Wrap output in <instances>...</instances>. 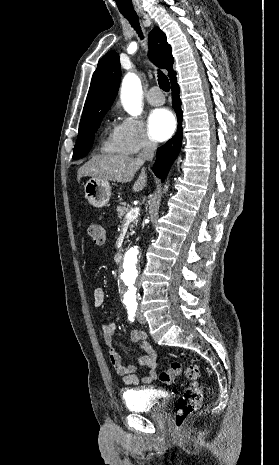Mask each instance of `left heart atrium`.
Returning <instances> with one entry per match:
<instances>
[{
  "label": "left heart atrium",
  "mask_w": 279,
  "mask_h": 465,
  "mask_svg": "<svg viewBox=\"0 0 279 465\" xmlns=\"http://www.w3.org/2000/svg\"><path fill=\"white\" fill-rule=\"evenodd\" d=\"M175 127V118L167 109H156L149 116V132L157 141H164L168 139L175 131Z\"/></svg>",
  "instance_id": "39dd6f15"
}]
</instances>
